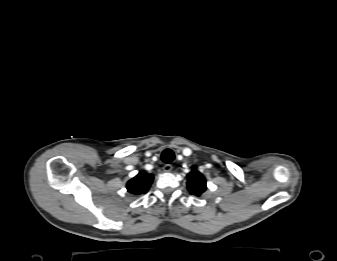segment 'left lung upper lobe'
<instances>
[{
  "label": "left lung upper lobe",
  "instance_id": "1",
  "mask_svg": "<svg viewBox=\"0 0 337 261\" xmlns=\"http://www.w3.org/2000/svg\"><path fill=\"white\" fill-rule=\"evenodd\" d=\"M187 178V186L191 194L200 196L206 190V180L196 169H193L187 175Z\"/></svg>",
  "mask_w": 337,
  "mask_h": 261
}]
</instances>
